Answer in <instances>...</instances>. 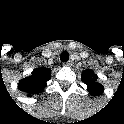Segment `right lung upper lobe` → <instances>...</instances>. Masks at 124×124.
<instances>
[{"mask_svg": "<svg viewBox=\"0 0 124 124\" xmlns=\"http://www.w3.org/2000/svg\"><path fill=\"white\" fill-rule=\"evenodd\" d=\"M51 79V70L48 68H37L33 70L31 76L21 79L18 88L26 92L28 96L43 92L47 81Z\"/></svg>", "mask_w": 124, "mask_h": 124, "instance_id": "obj_1", "label": "right lung upper lobe"}]
</instances>
